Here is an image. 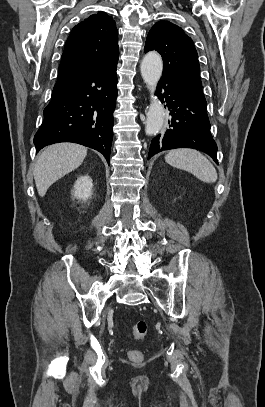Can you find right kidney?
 I'll return each instance as SVG.
<instances>
[{
    "label": "right kidney",
    "instance_id": "obj_1",
    "mask_svg": "<svg viewBox=\"0 0 265 407\" xmlns=\"http://www.w3.org/2000/svg\"><path fill=\"white\" fill-rule=\"evenodd\" d=\"M92 179L86 175L79 177L74 184V196L82 201L88 200L92 195Z\"/></svg>",
    "mask_w": 265,
    "mask_h": 407
}]
</instances>
